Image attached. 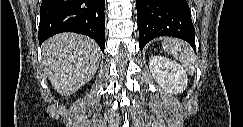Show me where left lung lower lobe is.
Instances as JSON below:
<instances>
[{"label": "left lung lower lobe", "mask_w": 243, "mask_h": 127, "mask_svg": "<svg viewBox=\"0 0 243 127\" xmlns=\"http://www.w3.org/2000/svg\"><path fill=\"white\" fill-rule=\"evenodd\" d=\"M139 47L159 36L187 41L195 51V29L186 0H136Z\"/></svg>", "instance_id": "obj_1"}]
</instances>
